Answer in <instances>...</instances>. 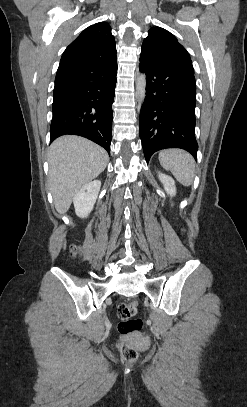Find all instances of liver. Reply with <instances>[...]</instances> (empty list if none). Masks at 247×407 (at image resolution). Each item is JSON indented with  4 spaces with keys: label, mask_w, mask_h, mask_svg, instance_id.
<instances>
[{
    "label": "liver",
    "mask_w": 247,
    "mask_h": 407,
    "mask_svg": "<svg viewBox=\"0 0 247 407\" xmlns=\"http://www.w3.org/2000/svg\"><path fill=\"white\" fill-rule=\"evenodd\" d=\"M108 161L102 147L79 136H62L51 144L48 184L58 213L68 211L74 196L104 171Z\"/></svg>",
    "instance_id": "liver-1"
}]
</instances>
